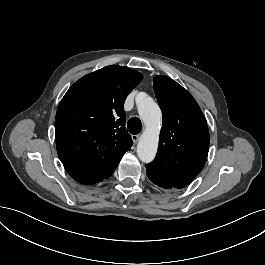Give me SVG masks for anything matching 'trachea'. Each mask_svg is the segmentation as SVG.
<instances>
[{
	"label": "trachea",
	"instance_id": "1",
	"mask_svg": "<svg viewBox=\"0 0 265 265\" xmlns=\"http://www.w3.org/2000/svg\"><path fill=\"white\" fill-rule=\"evenodd\" d=\"M128 127V131L133 134V135H137L138 133L141 132L142 130V123L141 120L137 117H133L128 121L127 124Z\"/></svg>",
	"mask_w": 265,
	"mask_h": 265
}]
</instances>
